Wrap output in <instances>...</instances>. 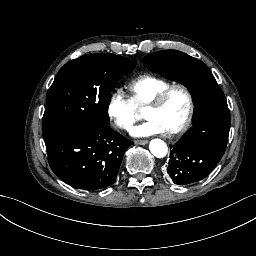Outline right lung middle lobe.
Wrapping results in <instances>:
<instances>
[{"mask_svg":"<svg viewBox=\"0 0 256 256\" xmlns=\"http://www.w3.org/2000/svg\"><path fill=\"white\" fill-rule=\"evenodd\" d=\"M135 65L128 58L108 53L84 55L64 65L47 93L44 139L59 133L77 135L110 127V92Z\"/></svg>","mask_w":256,"mask_h":256,"instance_id":"obj_1","label":"right lung middle lobe"}]
</instances>
